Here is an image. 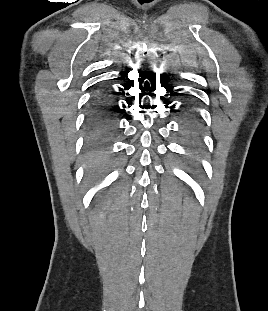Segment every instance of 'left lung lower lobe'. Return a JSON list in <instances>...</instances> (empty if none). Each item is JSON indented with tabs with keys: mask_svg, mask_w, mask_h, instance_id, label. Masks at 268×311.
I'll return each mask as SVG.
<instances>
[{
	"mask_svg": "<svg viewBox=\"0 0 268 311\" xmlns=\"http://www.w3.org/2000/svg\"><path fill=\"white\" fill-rule=\"evenodd\" d=\"M181 117L184 121L185 126L188 129H195L200 123L197 113L190 108H185L184 110H182Z\"/></svg>",
	"mask_w": 268,
	"mask_h": 311,
	"instance_id": "obj_1",
	"label": "left lung lower lobe"
}]
</instances>
